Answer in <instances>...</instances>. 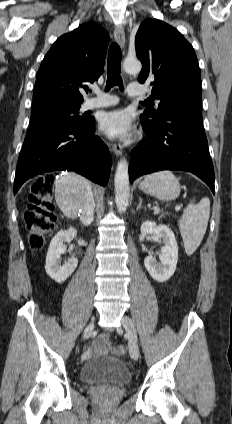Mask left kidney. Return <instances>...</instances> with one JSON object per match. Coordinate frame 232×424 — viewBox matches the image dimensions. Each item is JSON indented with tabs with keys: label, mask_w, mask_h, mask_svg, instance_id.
Here are the masks:
<instances>
[{
	"label": "left kidney",
	"mask_w": 232,
	"mask_h": 424,
	"mask_svg": "<svg viewBox=\"0 0 232 424\" xmlns=\"http://www.w3.org/2000/svg\"><path fill=\"white\" fill-rule=\"evenodd\" d=\"M147 235L162 238L164 246L159 255L160 263L153 256L144 259V265L150 276L158 282H166L174 274L178 261V245L173 231L166 225H157L153 221L143 222L139 240L144 241Z\"/></svg>",
	"instance_id": "5707ae66"
}]
</instances>
